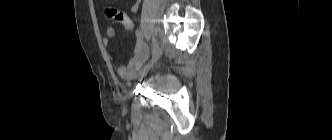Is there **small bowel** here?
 <instances>
[{
    "label": "small bowel",
    "mask_w": 332,
    "mask_h": 140,
    "mask_svg": "<svg viewBox=\"0 0 332 140\" xmlns=\"http://www.w3.org/2000/svg\"><path fill=\"white\" fill-rule=\"evenodd\" d=\"M140 0H137L131 6V12L136 13L139 10ZM115 36V29L112 26L106 27V36L102 42L105 46L110 44L111 39ZM148 56V50L141 37H137L133 56L126 65L117 68L118 76L125 81H132L137 77L138 70L143 66Z\"/></svg>",
    "instance_id": "small-bowel-1"
}]
</instances>
